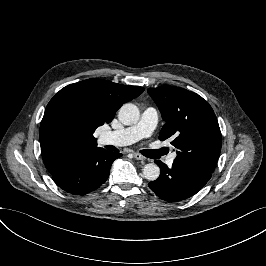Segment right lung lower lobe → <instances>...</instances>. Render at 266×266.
I'll list each match as a JSON object with an SVG mask.
<instances>
[{
  "instance_id": "98d812e1",
  "label": "right lung lower lobe",
  "mask_w": 266,
  "mask_h": 266,
  "mask_svg": "<svg viewBox=\"0 0 266 266\" xmlns=\"http://www.w3.org/2000/svg\"><path fill=\"white\" fill-rule=\"evenodd\" d=\"M122 156L103 148L78 151L67 156L51 173L55 183L68 193L83 195L99 188L108 178L111 164Z\"/></svg>"
}]
</instances>
